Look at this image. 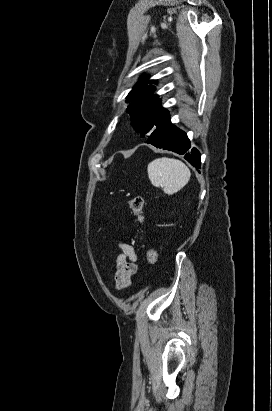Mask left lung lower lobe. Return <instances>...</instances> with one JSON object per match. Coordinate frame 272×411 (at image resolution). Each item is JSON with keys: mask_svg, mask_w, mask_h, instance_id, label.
Here are the masks:
<instances>
[{"mask_svg": "<svg viewBox=\"0 0 272 411\" xmlns=\"http://www.w3.org/2000/svg\"><path fill=\"white\" fill-rule=\"evenodd\" d=\"M147 143L154 145L157 148H162L185 154L184 158L195 168L200 169V153L196 148H191L190 141L186 133L175 125L170 120L161 126L157 131L148 136Z\"/></svg>", "mask_w": 272, "mask_h": 411, "instance_id": "1", "label": "left lung lower lobe"}]
</instances>
